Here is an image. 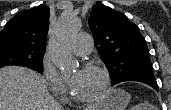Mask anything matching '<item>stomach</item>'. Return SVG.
<instances>
[{"label": "stomach", "instance_id": "0dacf381", "mask_svg": "<svg viewBox=\"0 0 171 110\" xmlns=\"http://www.w3.org/2000/svg\"><path fill=\"white\" fill-rule=\"evenodd\" d=\"M130 101V95L121 89L108 91L105 100L91 110H125Z\"/></svg>", "mask_w": 171, "mask_h": 110}]
</instances>
